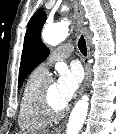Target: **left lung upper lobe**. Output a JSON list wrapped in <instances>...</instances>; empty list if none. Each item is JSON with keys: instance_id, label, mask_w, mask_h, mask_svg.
<instances>
[{"instance_id": "obj_1", "label": "left lung upper lobe", "mask_w": 116, "mask_h": 134, "mask_svg": "<svg viewBox=\"0 0 116 134\" xmlns=\"http://www.w3.org/2000/svg\"><path fill=\"white\" fill-rule=\"evenodd\" d=\"M47 16L43 11H37L27 25L24 46L19 70L18 87L28 77L32 70L43 62L49 54V49L41 40V30L46 22Z\"/></svg>"}]
</instances>
